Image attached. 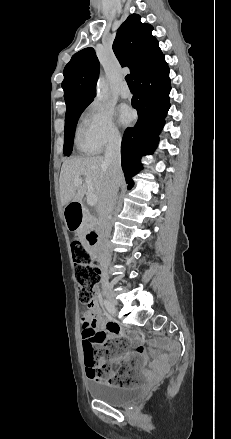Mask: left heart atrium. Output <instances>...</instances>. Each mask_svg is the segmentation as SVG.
I'll list each match as a JSON object with an SVG mask.
<instances>
[{"instance_id": "left-heart-atrium-1", "label": "left heart atrium", "mask_w": 231, "mask_h": 439, "mask_svg": "<svg viewBox=\"0 0 231 439\" xmlns=\"http://www.w3.org/2000/svg\"><path fill=\"white\" fill-rule=\"evenodd\" d=\"M132 119H133L132 111L128 107L122 106L119 109L120 123L126 125V124H129L132 121Z\"/></svg>"}]
</instances>
